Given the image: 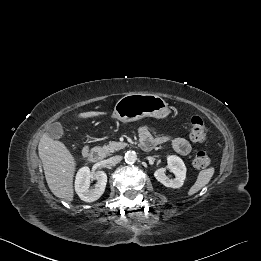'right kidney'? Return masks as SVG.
I'll use <instances>...</instances> for the list:
<instances>
[{
	"label": "right kidney",
	"instance_id": "ca27d5eb",
	"mask_svg": "<svg viewBox=\"0 0 261 261\" xmlns=\"http://www.w3.org/2000/svg\"><path fill=\"white\" fill-rule=\"evenodd\" d=\"M96 179L97 183L93 189H90V182ZM107 184V175L103 171L92 174L90 168L85 166L79 169L75 179V191L81 200L85 202H94L104 193Z\"/></svg>",
	"mask_w": 261,
	"mask_h": 261
}]
</instances>
